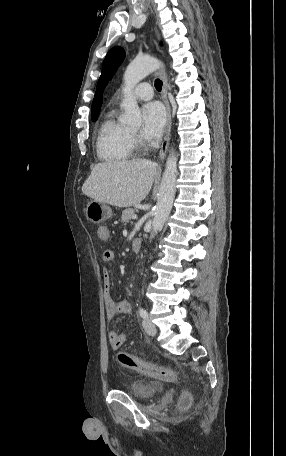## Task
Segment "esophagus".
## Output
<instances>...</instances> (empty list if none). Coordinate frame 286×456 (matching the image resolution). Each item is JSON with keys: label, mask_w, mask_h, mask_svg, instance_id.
<instances>
[{"label": "esophagus", "mask_w": 286, "mask_h": 456, "mask_svg": "<svg viewBox=\"0 0 286 456\" xmlns=\"http://www.w3.org/2000/svg\"><path fill=\"white\" fill-rule=\"evenodd\" d=\"M155 36H156V45L158 46V40H159V32L157 28L155 27ZM158 75L162 80L163 86H162V99L166 107L167 111V124H166V130H165V136L164 140L162 142L160 152H159V157L161 160L164 159L169 142H170V133H171V107L167 98V76L164 67L162 66L161 69L158 71Z\"/></svg>", "instance_id": "esophagus-1"}]
</instances>
